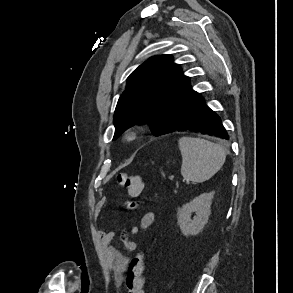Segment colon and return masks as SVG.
<instances>
[{
    "instance_id": "1",
    "label": "colon",
    "mask_w": 293,
    "mask_h": 293,
    "mask_svg": "<svg viewBox=\"0 0 293 293\" xmlns=\"http://www.w3.org/2000/svg\"><path fill=\"white\" fill-rule=\"evenodd\" d=\"M119 185L124 187L131 196L139 195L144 187L143 180L138 175L119 173L116 177ZM135 231V229H132ZM145 258L143 254H137L130 262L124 278L126 293H144Z\"/></svg>"
}]
</instances>
